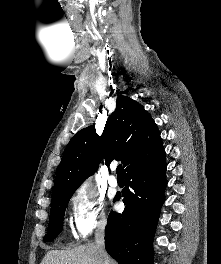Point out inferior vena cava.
Instances as JSON below:
<instances>
[{"mask_svg": "<svg viewBox=\"0 0 221 264\" xmlns=\"http://www.w3.org/2000/svg\"><path fill=\"white\" fill-rule=\"evenodd\" d=\"M105 222H100L98 225V231L95 234V243H96V249H97V254L99 258L101 259L103 264H109L108 261V256L105 251L104 247V227H105Z\"/></svg>", "mask_w": 221, "mask_h": 264, "instance_id": "inferior-vena-cava-1", "label": "inferior vena cava"}]
</instances>
